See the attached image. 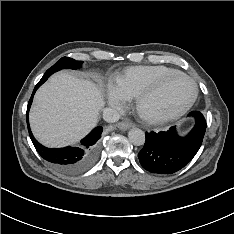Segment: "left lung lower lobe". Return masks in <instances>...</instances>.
Here are the masks:
<instances>
[{"label": "left lung lower lobe", "instance_id": "obj_1", "mask_svg": "<svg viewBox=\"0 0 234 234\" xmlns=\"http://www.w3.org/2000/svg\"><path fill=\"white\" fill-rule=\"evenodd\" d=\"M195 120L186 136H179L175 127L159 133H146V141L138 158L144 169L152 173L172 174L186 166L198 152L206 131V120L199 111L189 113Z\"/></svg>", "mask_w": 234, "mask_h": 234}]
</instances>
